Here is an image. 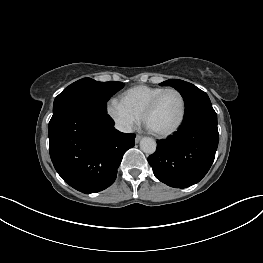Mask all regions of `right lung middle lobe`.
I'll list each match as a JSON object with an SVG mask.
<instances>
[{"label": "right lung middle lobe", "instance_id": "dd1d6c3e", "mask_svg": "<svg viewBox=\"0 0 263 263\" xmlns=\"http://www.w3.org/2000/svg\"><path fill=\"white\" fill-rule=\"evenodd\" d=\"M124 84L117 81L98 82L91 78L80 79L65 88L54 100L53 116L71 107L107 112L106 102Z\"/></svg>", "mask_w": 263, "mask_h": 263}]
</instances>
